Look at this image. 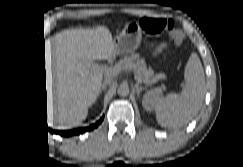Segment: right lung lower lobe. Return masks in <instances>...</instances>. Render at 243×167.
Returning <instances> with one entry per match:
<instances>
[{
  "label": "right lung lower lobe",
  "mask_w": 243,
  "mask_h": 167,
  "mask_svg": "<svg viewBox=\"0 0 243 167\" xmlns=\"http://www.w3.org/2000/svg\"><path fill=\"white\" fill-rule=\"evenodd\" d=\"M39 82H40V79H39ZM40 111H41V100H40ZM102 121H103V117L99 121H97L95 124H92L89 127H85V128H81V129H74V130H69V131H58V130H55V131H53V133L59 134V135H63V136L78 135V134H81V133H83L85 131H90V130L96 128ZM46 129L49 130L48 127Z\"/></svg>",
  "instance_id": "right-lung-lower-lobe-1"
}]
</instances>
